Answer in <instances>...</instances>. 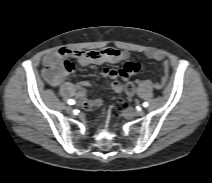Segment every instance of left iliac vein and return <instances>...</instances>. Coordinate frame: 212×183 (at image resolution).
<instances>
[{"mask_svg": "<svg viewBox=\"0 0 212 183\" xmlns=\"http://www.w3.org/2000/svg\"><path fill=\"white\" fill-rule=\"evenodd\" d=\"M134 114L135 113L130 108L126 109V115L133 116ZM137 114L143 115V111H139Z\"/></svg>", "mask_w": 212, "mask_h": 183, "instance_id": "left-iliac-vein-1", "label": "left iliac vein"}]
</instances>
